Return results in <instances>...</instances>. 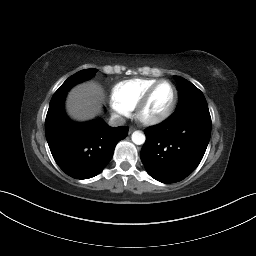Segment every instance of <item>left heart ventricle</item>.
<instances>
[{
	"mask_svg": "<svg viewBox=\"0 0 256 256\" xmlns=\"http://www.w3.org/2000/svg\"><path fill=\"white\" fill-rule=\"evenodd\" d=\"M173 89L172 87L164 83L160 85L154 92L146 110V115H157L162 113L168 108L172 101Z\"/></svg>",
	"mask_w": 256,
	"mask_h": 256,
	"instance_id": "obj_1",
	"label": "left heart ventricle"
}]
</instances>
